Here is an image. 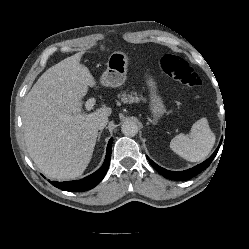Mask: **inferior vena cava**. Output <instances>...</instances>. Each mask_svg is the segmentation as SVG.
I'll return each instance as SVG.
<instances>
[{"mask_svg":"<svg viewBox=\"0 0 249 249\" xmlns=\"http://www.w3.org/2000/svg\"><path fill=\"white\" fill-rule=\"evenodd\" d=\"M107 123H108V118L107 117H101V118H98L95 121V127L98 130H101V129H104L106 127Z\"/></svg>","mask_w":249,"mask_h":249,"instance_id":"602c4592","label":"inferior vena cava"}]
</instances>
